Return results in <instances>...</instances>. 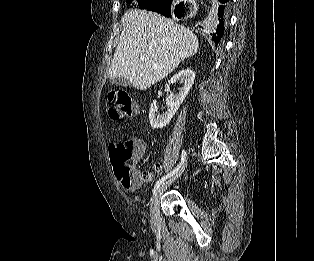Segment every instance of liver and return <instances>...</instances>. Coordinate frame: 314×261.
<instances>
[{
  "instance_id": "1",
  "label": "liver",
  "mask_w": 314,
  "mask_h": 261,
  "mask_svg": "<svg viewBox=\"0 0 314 261\" xmlns=\"http://www.w3.org/2000/svg\"><path fill=\"white\" fill-rule=\"evenodd\" d=\"M122 21L123 30L108 71L110 80L123 77L136 89L147 90L198 50L192 31L157 13L130 9Z\"/></svg>"
}]
</instances>
